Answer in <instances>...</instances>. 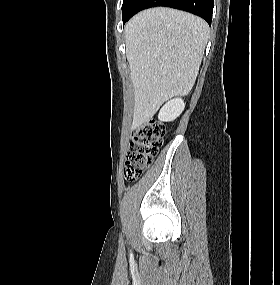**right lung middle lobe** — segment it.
Here are the masks:
<instances>
[{"mask_svg":"<svg viewBox=\"0 0 280 285\" xmlns=\"http://www.w3.org/2000/svg\"><path fill=\"white\" fill-rule=\"evenodd\" d=\"M138 1L139 0H124L122 5V18H126L132 13Z\"/></svg>","mask_w":280,"mask_h":285,"instance_id":"obj_1","label":"right lung middle lobe"}]
</instances>
